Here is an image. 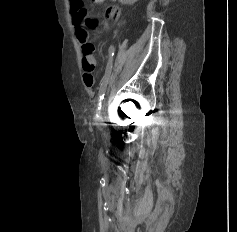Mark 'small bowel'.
I'll return each instance as SVG.
<instances>
[{
  "instance_id": "c3829d8e",
  "label": "small bowel",
  "mask_w": 237,
  "mask_h": 232,
  "mask_svg": "<svg viewBox=\"0 0 237 232\" xmlns=\"http://www.w3.org/2000/svg\"><path fill=\"white\" fill-rule=\"evenodd\" d=\"M105 0H92L96 4L103 3ZM116 10V16L111 21H116L119 18V9L113 7ZM78 40L81 43L82 50V68H83V81L87 87H92L94 84V69L95 59L93 57L94 45L88 41V39H82L78 35Z\"/></svg>"
}]
</instances>
